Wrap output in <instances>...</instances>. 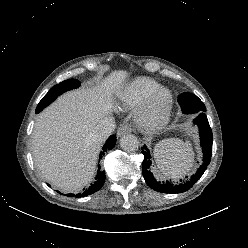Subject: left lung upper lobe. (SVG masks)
<instances>
[{
    "label": "left lung upper lobe",
    "instance_id": "obj_1",
    "mask_svg": "<svg viewBox=\"0 0 248 248\" xmlns=\"http://www.w3.org/2000/svg\"><path fill=\"white\" fill-rule=\"evenodd\" d=\"M178 102L184 113L206 111V107L203 102L196 95L191 93H182L178 97Z\"/></svg>",
    "mask_w": 248,
    "mask_h": 248
}]
</instances>
